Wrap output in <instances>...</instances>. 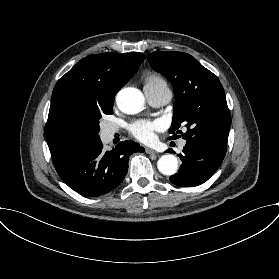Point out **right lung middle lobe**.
I'll return each mask as SVG.
<instances>
[{
  "mask_svg": "<svg viewBox=\"0 0 279 279\" xmlns=\"http://www.w3.org/2000/svg\"><path fill=\"white\" fill-rule=\"evenodd\" d=\"M114 100H109L102 103H92L86 108V122L83 126L84 130L90 134L98 136L100 130L99 119L103 114H113Z\"/></svg>",
  "mask_w": 279,
  "mask_h": 279,
  "instance_id": "dd1d6c3e",
  "label": "right lung middle lobe"
}]
</instances>
